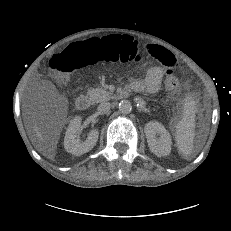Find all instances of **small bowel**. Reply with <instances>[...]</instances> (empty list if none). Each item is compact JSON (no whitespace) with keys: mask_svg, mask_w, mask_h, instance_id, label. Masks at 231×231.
Segmentation results:
<instances>
[{"mask_svg":"<svg viewBox=\"0 0 231 231\" xmlns=\"http://www.w3.org/2000/svg\"><path fill=\"white\" fill-rule=\"evenodd\" d=\"M149 53L157 58L163 67L171 72L178 69L179 64L175 57L166 49L152 45L148 49ZM160 65H154L147 69L146 77L142 80H135L131 84V88L137 91L147 92L150 94L157 93L161 86V80L164 74V69Z\"/></svg>","mask_w":231,"mask_h":231,"instance_id":"obj_1","label":"small bowel"}]
</instances>
